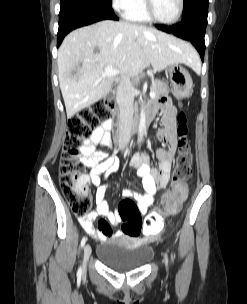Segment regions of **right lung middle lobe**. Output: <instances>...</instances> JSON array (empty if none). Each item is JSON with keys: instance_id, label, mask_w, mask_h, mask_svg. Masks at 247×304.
Returning <instances> with one entry per match:
<instances>
[{"instance_id": "dd1d6c3e", "label": "right lung middle lobe", "mask_w": 247, "mask_h": 304, "mask_svg": "<svg viewBox=\"0 0 247 304\" xmlns=\"http://www.w3.org/2000/svg\"><path fill=\"white\" fill-rule=\"evenodd\" d=\"M89 2H96V3H101V4H105V5H112V0H86Z\"/></svg>"}]
</instances>
